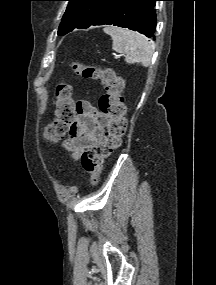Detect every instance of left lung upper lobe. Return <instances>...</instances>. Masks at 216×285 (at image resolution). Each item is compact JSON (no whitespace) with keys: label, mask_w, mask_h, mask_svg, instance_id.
I'll return each instance as SVG.
<instances>
[{"label":"left lung upper lobe","mask_w":216,"mask_h":285,"mask_svg":"<svg viewBox=\"0 0 216 285\" xmlns=\"http://www.w3.org/2000/svg\"><path fill=\"white\" fill-rule=\"evenodd\" d=\"M69 1L61 20L58 35H65L73 29H84L98 17V15L113 0H65Z\"/></svg>","instance_id":"5c2ea615"}]
</instances>
